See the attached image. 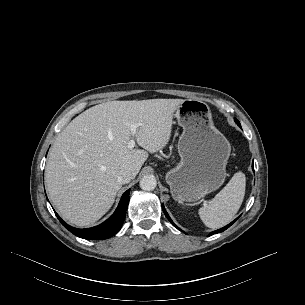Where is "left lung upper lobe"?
Instances as JSON below:
<instances>
[{
  "instance_id": "obj_1",
  "label": "left lung upper lobe",
  "mask_w": 305,
  "mask_h": 305,
  "mask_svg": "<svg viewBox=\"0 0 305 305\" xmlns=\"http://www.w3.org/2000/svg\"><path fill=\"white\" fill-rule=\"evenodd\" d=\"M235 122L240 126V123H239V121L237 119H235Z\"/></svg>"
}]
</instances>
